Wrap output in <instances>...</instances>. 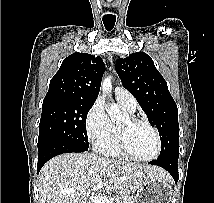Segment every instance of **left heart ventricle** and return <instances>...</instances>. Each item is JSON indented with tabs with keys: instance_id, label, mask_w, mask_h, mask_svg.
<instances>
[{
	"instance_id": "b2bd125f",
	"label": "left heart ventricle",
	"mask_w": 214,
	"mask_h": 203,
	"mask_svg": "<svg viewBox=\"0 0 214 203\" xmlns=\"http://www.w3.org/2000/svg\"><path fill=\"white\" fill-rule=\"evenodd\" d=\"M120 124L127 125V118L121 121ZM127 141L130 151L137 157L146 158L155 152V135L146 125L136 124L128 126Z\"/></svg>"
}]
</instances>
